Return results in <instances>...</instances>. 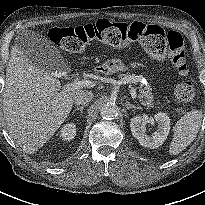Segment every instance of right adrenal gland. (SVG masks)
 <instances>
[{"mask_svg":"<svg viewBox=\"0 0 205 205\" xmlns=\"http://www.w3.org/2000/svg\"><path fill=\"white\" fill-rule=\"evenodd\" d=\"M84 107H85V105H82L81 107H76V109L72 112V114H74L76 111H80L82 113Z\"/></svg>","mask_w":205,"mask_h":205,"instance_id":"obj_1","label":"right adrenal gland"}]
</instances>
